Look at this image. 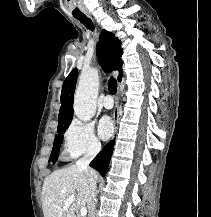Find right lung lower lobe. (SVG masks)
<instances>
[{
	"instance_id": "1",
	"label": "right lung lower lobe",
	"mask_w": 211,
	"mask_h": 217,
	"mask_svg": "<svg viewBox=\"0 0 211 217\" xmlns=\"http://www.w3.org/2000/svg\"><path fill=\"white\" fill-rule=\"evenodd\" d=\"M114 143V140H111L109 143H107L103 150L90 163V166L96 169L102 176H105L107 173Z\"/></svg>"
}]
</instances>
